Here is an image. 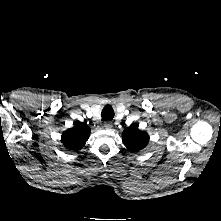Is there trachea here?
<instances>
[{
	"instance_id": "3493384b",
	"label": "trachea",
	"mask_w": 221,
	"mask_h": 221,
	"mask_svg": "<svg viewBox=\"0 0 221 221\" xmlns=\"http://www.w3.org/2000/svg\"><path fill=\"white\" fill-rule=\"evenodd\" d=\"M101 115H102L103 120H105V119L112 120L113 117H114V110H113V108L111 106L107 105L102 110Z\"/></svg>"
}]
</instances>
